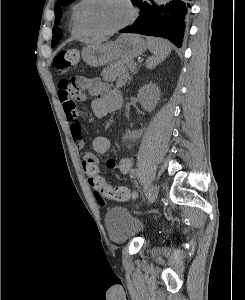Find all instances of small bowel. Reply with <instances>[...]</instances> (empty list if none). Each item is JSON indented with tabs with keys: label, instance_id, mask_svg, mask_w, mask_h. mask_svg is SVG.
<instances>
[{
	"label": "small bowel",
	"instance_id": "obj_1",
	"mask_svg": "<svg viewBox=\"0 0 245 300\" xmlns=\"http://www.w3.org/2000/svg\"><path fill=\"white\" fill-rule=\"evenodd\" d=\"M79 82L81 89L74 90L67 85V80H61L58 97L70 125V133L82 161L83 170L91 177L99 175L100 172V161L97 154L108 153L112 144L107 137L97 136L92 141L93 152L85 150L82 127L77 121L79 114L76 100L84 101L91 98L90 106L93 115L102 118L118 108V101L121 100V96L109 84L102 82L99 78H80ZM105 166L108 169H117L120 174L126 175L131 172L132 163L129 158H122L119 161L108 159Z\"/></svg>",
	"mask_w": 245,
	"mask_h": 300
}]
</instances>
